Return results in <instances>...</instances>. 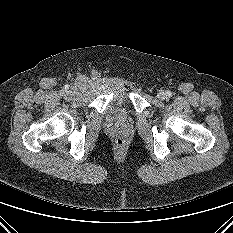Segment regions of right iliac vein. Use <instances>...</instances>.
Wrapping results in <instances>:
<instances>
[{
	"label": "right iliac vein",
	"instance_id": "63e3f726",
	"mask_svg": "<svg viewBox=\"0 0 233 233\" xmlns=\"http://www.w3.org/2000/svg\"><path fill=\"white\" fill-rule=\"evenodd\" d=\"M74 97V93L72 92V91H66V93H65V98L67 99V100H71L72 98Z\"/></svg>",
	"mask_w": 233,
	"mask_h": 233
}]
</instances>
